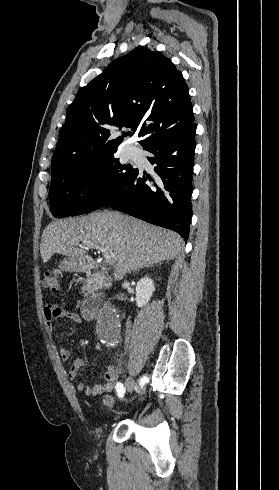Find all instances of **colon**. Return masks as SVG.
I'll return each instance as SVG.
<instances>
[{
  "label": "colon",
  "instance_id": "5ec220e1",
  "mask_svg": "<svg viewBox=\"0 0 279 490\" xmlns=\"http://www.w3.org/2000/svg\"><path fill=\"white\" fill-rule=\"evenodd\" d=\"M43 287L51 292H57L60 287L59 275L53 272H48L43 278ZM102 403L105 407L110 409H117L114 405L113 399L109 394L103 396Z\"/></svg>",
  "mask_w": 279,
  "mask_h": 490
}]
</instances>
